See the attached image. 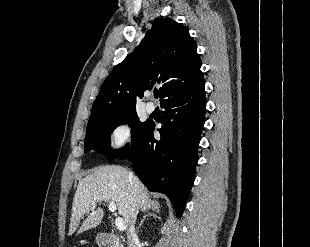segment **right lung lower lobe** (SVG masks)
Returning <instances> with one entry per match:
<instances>
[{"label": "right lung lower lobe", "instance_id": "right-lung-lower-lobe-1", "mask_svg": "<svg viewBox=\"0 0 310 247\" xmlns=\"http://www.w3.org/2000/svg\"><path fill=\"white\" fill-rule=\"evenodd\" d=\"M204 82L161 103L164 108L160 139L148 122L124 156L135 173L153 192L167 195L179 218L195 178L197 147L205 122Z\"/></svg>", "mask_w": 310, "mask_h": 247}]
</instances>
